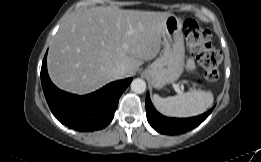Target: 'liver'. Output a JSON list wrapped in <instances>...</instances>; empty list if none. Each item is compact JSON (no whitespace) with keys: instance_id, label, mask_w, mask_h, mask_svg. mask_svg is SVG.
<instances>
[{"instance_id":"6515ba94","label":"liver","mask_w":261,"mask_h":162,"mask_svg":"<svg viewBox=\"0 0 261 162\" xmlns=\"http://www.w3.org/2000/svg\"><path fill=\"white\" fill-rule=\"evenodd\" d=\"M168 12L92 7L69 16L50 44L47 65L60 89L87 94L117 78L125 66L133 76L143 61L157 56ZM122 77V78H123Z\"/></svg>"}]
</instances>
